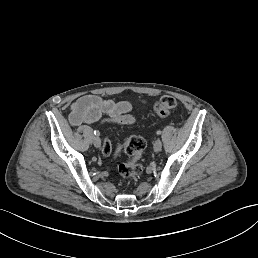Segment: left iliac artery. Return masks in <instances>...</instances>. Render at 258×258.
Instances as JSON below:
<instances>
[{"instance_id":"1","label":"left iliac artery","mask_w":258,"mask_h":258,"mask_svg":"<svg viewBox=\"0 0 258 258\" xmlns=\"http://www.w3.org/2000/svg\"><path fill=\"white\" fill-rule=\"evenodd\" d=\"M161 133H162L161 130H158V131L156 132L157 135H160Z\"/></svg>"}]
</instances>
